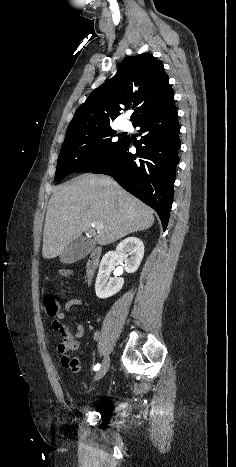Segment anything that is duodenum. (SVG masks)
<instances>
[{"mask_svg":"<svg viewBox=\"0 0 236 467\" xmlns=\"http://www.w3.org/2000/svg\"><path fill=\"white\" fill-rule=\"evenodd\" d=\"M102 256V250L99 246H94L89 254L86 267H85V280L90 282L94 275L96 274L100 260Z\"/></svg>","mask_w":236,"mask_h":467,"instance_id":"1","label":"duodenum"}]
</instances>
